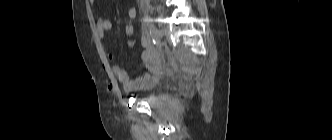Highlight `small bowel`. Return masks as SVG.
<instances>
[{"label":"small bowel","instance_id":"small-bowel-1","mask_svg":"<svg viewBox=\"0 0 332 140\" xmlns=\"http://www.w3.org/2000/svg\"><path fill=\"white\" fill-rule=\"evenodd\" d=\"M92 7L95 5L96 0H89ZM128 16L130 18L136 17V9L131 7L128 9ZM112 22L110 19L103 18L97 15V23H96V30L97 34L101 39H104L106 34L112 29ZM135 44L134 40H127L126 45L128 47H132ZM141 44L144 47V51L142 53V59L147 65L149 69H151V64L153 61V51L150 47V42L147 36H142ZM109 58L113 59V54H109ZM112 72L116 79L123 85V88L126 92H134L143 89L146 84L152 79L149 74H146L143 77L131 80L128 76V73L125 69H123L119 64L113 63Z\"/></svg>","mask_w":332,"mask_h":140}]
</instances>
